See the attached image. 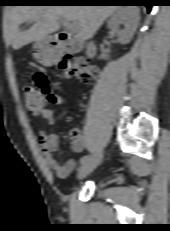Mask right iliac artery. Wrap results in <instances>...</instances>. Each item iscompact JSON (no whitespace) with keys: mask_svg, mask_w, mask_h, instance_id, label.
Masks as SVG:
<instances>
[{"mask_svg":"<svg viewBox=\"0 0 170 231\" xmlns=\"http://www.w3.org/2000/svg\"><path fill=\"white\" fill-rule=\"evenodd\" d=\"M90 159V156L86 155L80 159V164H85Z\"/></svg>","mask_w":170,"mask_h":231,"instance_id":"right-iliac-artery-1","label":"right iliac artery"}]
</instances>
